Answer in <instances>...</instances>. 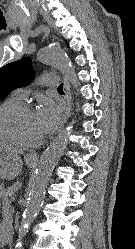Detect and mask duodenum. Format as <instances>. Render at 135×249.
Masks as SVG:
<instances>
[{
    "label": "duodenum",
    "mask_w": 135,
    "mask_h": 249,
    "mask_svg": "<svg viewBox=\"0 0 135 249\" xmlns=\"http://www.w3.org/2000/svg\"><path fill=\"white\" fill-rule=\"evenodd\" d=\"M0 245L5 249H9L11 247V236L8 234L3 235L0 239Z\"/></svg>",
    "instance_id": "obj_1"
}]
</instances>
